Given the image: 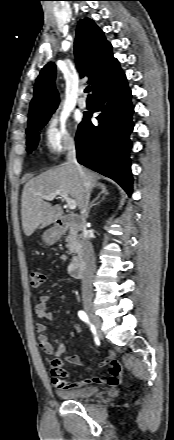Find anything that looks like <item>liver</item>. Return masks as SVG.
Returning <instances> with one entry per match:
<instances>
[{
    "instance_id": "1",
    "label": "liver",
    "mask_w": 174,
    "mask_h": 440,
    "mask_svg": "<svg viewBox=\"0 0 174 440\" xmlns=\"http://www.w3.org/2000/svg\"><path fill=\"white\" fill-rule=\"evenodd\" d=\"M83 170L86 175L85 179L80 176L74 164L67 162L30 179L24 185L21 217L26 236L32 235L39 226L44 228L54 223L63 214L61 206H52L51 203L44 201L42 198L44 195H49L56 190H64L82 210L86 197L85 182H88L91 188L99 184L94 172Z\"/></svg>"
}]
</instances>
